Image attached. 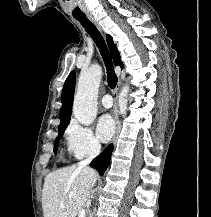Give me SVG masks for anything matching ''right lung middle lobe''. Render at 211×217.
I'll use <instances>...</instances> for the list:
<instances>
[{"mask_svg":"<svg viewBox=\"0 0 211 217\" xmlns=\"http://www.w3.org/2000/svg\"><path fill=\"white\" fill-rule=\"evenodd\" d=\"M67 126L60 128L59 131V135L57 136L56 140H55V147H54V152L56 153L57 148H58V141L61 139V137L63 136V133L65 131Z\"/></svg>","mask_w":211,"mask_h":217,"instance_id":"obj_1","label":"right lung middle lobe"}]
</instances>
